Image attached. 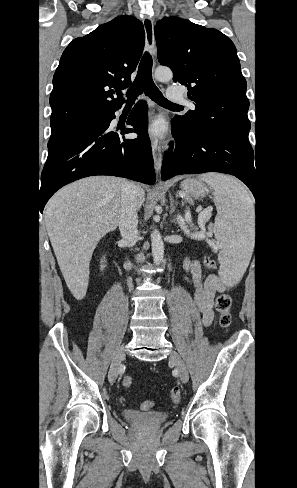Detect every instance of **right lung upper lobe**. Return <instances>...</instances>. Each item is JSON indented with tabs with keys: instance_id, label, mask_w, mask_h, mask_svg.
I'll list each match as a JSON object with an SVG mask.
<instances>
[{
	"instance_id": "1",
	"label": "right lung upper lobe",
	"mask_w": 297,
	"mask_h": 488,
	"mask_svg": "<svg viewBox=\"0 0 297 488\" xmlns=\"http://www.w3.org/2000/svg\"><path fill=\"white\" fill-rule=\"evenodd\" d=\"M144 42L143 24L130 16H120L74 39L53 77L52 133L103 119L121 108V90L131 84Z\"/></svg>"
}]
</instances>
